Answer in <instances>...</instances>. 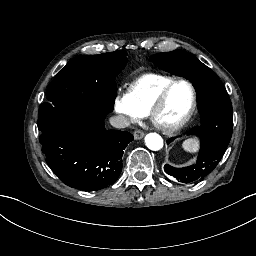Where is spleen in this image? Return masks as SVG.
I'll return each mask as SVG.
<instances>
[{
	"label": "spleen",
	"instance_id": "3e777b00",
	"mask_svg": "<svg viewBox=\"0 0 256 256\" xmlns=\"http://www.w3.org/2000/svg\"><path fill=\"white\" fill-rule=\"evenodd\" d=\"M184 148L188 151L194 152L197 150V144L193 140H186L183 144Z\"/></svg>",
	"mask_w": 256,
	"mask_h": 256
}]
</instances>
